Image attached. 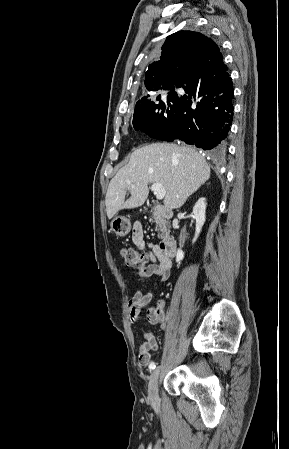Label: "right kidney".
Returning <instances> with one entry per match:
<instances>
[{
	"label": "right kidney",
	"instance_id": "right-kidney-1",
	"mask_svg": "<svg viewBox=\"0 0 289 449\" xmlns=\"http://www.w3.org/2000/svg\"><path fill=\"white\" fill-rule=\"evenodd\" d=\"M205 213H206V199L202 197L196 202L193 208L194 219L196 221V231L192 243H194L197 240L201 232V229L205 223L206 218ZM183 258L184 252L181 249H178L176 254V262L179 263L181 260H183Z\"/></svg>",
	"mask_w": 289,
	"mask_h": 449
}]
</instances>
